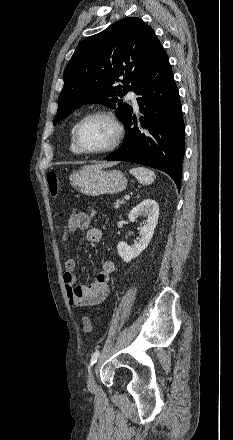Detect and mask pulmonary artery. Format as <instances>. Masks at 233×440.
Returning <instances> with one entry per match:
<instances>
[{
	"label": "pulmonary artery",
	"instance_id": "e3ab8cb5",
	"mask_svg": "<svg viewBox=\"0 0 233 440\" xmlns=\"http://www.w3.org/2000/svg\"><path fill=\"white\" fill-rule=\"evenodd\" d=\"M127 98L132 101L135 109H138L137 94L134 91H129L127 93Z\"/></svg>",
	"mask_w": 233,
	"mask_h": 440
}]
</instances>
